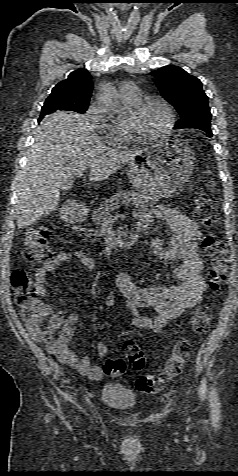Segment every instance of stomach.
I'll return each mask as SVG.
<instances>
[{"label": "stomach", "instance_id": "stomach-1", "mask_svg": "<svg viewBox=\"0 0 238 476\" xmlns=\"http://www.w3.org/2000/svg\"><path fill=\"white\" fill-rule=\"evenodd\" d=\"M137 162L127 168L129 181L149 198L171 197L178 193L194 168L195 156L186 142L173 135L137 153ZM81 212L73 214L74 218Z\"/></svg>", "mask_w": 238, "mask_h": 476}]
</instances>
